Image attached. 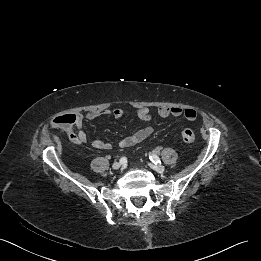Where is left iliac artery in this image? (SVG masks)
<instances>
[{"label":"left iliac artery","instance_id":"left-iliac-artery-1","mask_svg":"<svg viewBox=\"0 0 261 261\" xmlns=\"http://www.w3.org/2000/svg\"><path fill=\"white\" fill-rule=\"evenodd\" d=\"M149 158H150V160H151L155 165L161 164V161H160V159H159V157H158L157 155H155V154H150V155H149Z\"/></svg>","mask_w":261,"mask_h":261}]
</instances>
